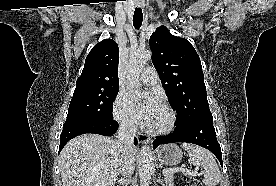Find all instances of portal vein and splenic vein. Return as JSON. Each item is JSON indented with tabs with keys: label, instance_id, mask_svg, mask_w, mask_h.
<instances>
[{
	"label": "portal vein and splenic vein",
	"instance_id": "portal-vein-and-splenic-vein-1",
	"mask_svg": "<svg viewBox=\"0 0 276 186\" xmlns=\"http://www.w3.org/2000/svg\"><path fill=\"white\" fill-rule=\"evenodd\" d=\"M175 172H182V173H185L187 175H191V176H197L199 175L198 173V170H194V171H191V170H188V169H185V168H179V169H164L162 171V174L166 177V176H170V175H173V173Z\"/></svg>",
	"mask_w": 276,
	"mask_h": 186
}]
</instances>
